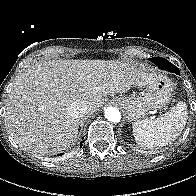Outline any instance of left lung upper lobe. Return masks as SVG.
I'll list each match as a JSON object with an SVG mask.
<instances>
[{
  "mask_svg": "<svg viewBox=\"0 0 196 196\" xmlns=\"http://www.w3.org/2000/svg\"><path fill=\"white\" fill-rule=\"evenodd\" d=\"M149 60L155 63V65H157L163 70H167L173 73L179 72L178 68L175 65H173L172 63H170L169 61H167L162 57H154V58H150Z\"/></svg>",
  "mask_w": 196,
  "mask_h": 196,
  "instance_id": "obj_1",
  "label": "left lung upper lobe"
}]
</instances>
